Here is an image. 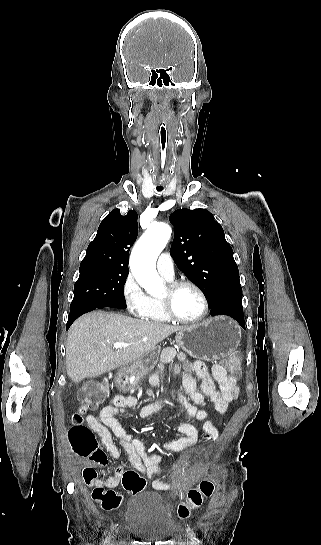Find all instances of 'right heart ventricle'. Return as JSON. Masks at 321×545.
I'll return each instance as SVG.
<instances>
[{
    "instance_id": "1",
    "label": "right heart ventricle",
    "mask_w": 321,
    "mask_h": 545,
    "mask_svg": "<svg viewBox=\"0 0 321 545\" xmlns=\"http://www.w3.org/2000/svg\"><path fill=\"white\" fill-rule=\"evenodd\" d=\"M142 319L149 323H164L169 321L161 310L159 303L154 301H151L150 307Z\"/></svg>"
}]
</instances>
